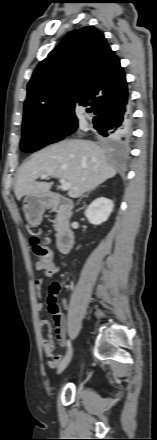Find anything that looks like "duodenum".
<instances>
[{"mask_svg": "<svg viewBox=\"0 0 157 440\" xmlns=\"http://www.w3.org/2000/svg\"><path fill=\"white\" fill-rule=\"evenodd\" d=\"M43 200L46 201L49 209L58 213L57 247L61 253L66 254L71 250L74 242V232L70 226L72 203L57 194H50Z\"/></svg>", "mask_w": 157, "mask_h": 440, "instance_id": "1", "label": "duodenum"}]
</instances>
